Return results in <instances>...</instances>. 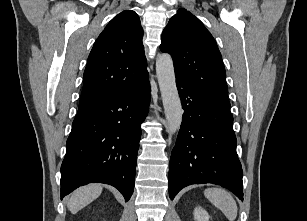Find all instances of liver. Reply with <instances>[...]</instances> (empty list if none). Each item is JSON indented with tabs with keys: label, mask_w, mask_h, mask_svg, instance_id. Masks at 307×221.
I'll return each instance as SVG.
<instances>
[{
	"label": "liver",
	"mask_w": 307,
	"mask_h": 221,
	"mask_svg": "<svg viewBox=\"0 0 307 221\" xmlns=\"http://www.w3.org/2000/svg\"><path fill=\"white\" fill-rule=\"evenodd\" d=\"M101 192L102 186L99 184H91L75 190L68 198V209L72 214H76L79 210L98 198Z\"/></svg>",
	"instance_id": "1"
}]
</instances>
